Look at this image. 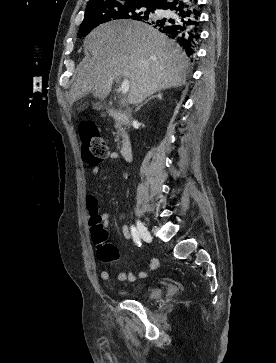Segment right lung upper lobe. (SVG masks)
I'll list each match as a JSON object with an SVG mask.
<instances>
[{
  "mask_svg": "<svg viewBox=\"0 0 276 363\" xmlns=\"http://www.w3.org/2000/svg\"><path fill=\"white\" fill-rule=\"evenodd\" d=\"M99 1H103V0H89L88 5L95 3V2H99ZM128 1L144 2L150 6L157 8L164 0H128ZM146 20H148V19H146Z\"/></svg>",
  "mask_w": 276,
  "mask_h": 363,
  "instance_id": "cb5924a9",
  "label": "right lung upper lobe"
}]
</instances>
